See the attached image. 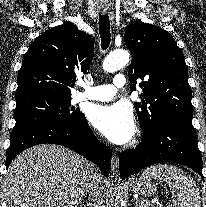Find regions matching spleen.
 Wrapping results in <instances>:
<instances>
[{
	"label": "spleen",
	"mask_w": 206,
	"mask_h": 207,
	"mask_svg": "<svg viewBox=\"0 0 206 207\" xmlns=\"http://www.w3.org/2000/svg\"><path fill=\"white\" fill-rule=\"evenodd\" d=\"M142 176L167 182L175 207H201L200 193L195 182L180 168L158 164L145 169Z\"/></svg>",
	"instance_id": "3e777b00"
}]
</instances>
